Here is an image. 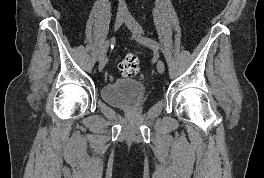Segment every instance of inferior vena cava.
<instances>
[{
    "label": "inferior vena cava",
    "mask_w": 264,
    "mask_h": 178,
    "mask_svg": "<svg viewBox=\"0 0 264 178\" xmlns=\"http://www.w3.org/2000/svg\"><path fill=\"white\" fill-rule=\"evenodd\" d=\"M118 11L120 13H128V10H127V5L125 3V0H119V6H118Z\"/></svg>",
    "instance_id": "602c4592"
}]
</instances>
